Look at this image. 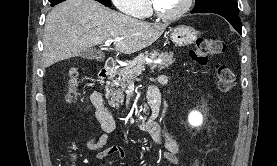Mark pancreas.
I'll list each match as a JSON object with an SVG mask.
<instances>
[{
	"instance_id": "pancreas-1",
	"label": "pancreas",
	"mask_w": 277,
	"mask_h": 166,
	"mask_svg": "<svg viewBox=\"0 0 277 166\" xmlns=\"http://www.w3.org/2000/svg\"><path fill=\"white\" fill-rule=\"evenodd\" d=\"M173 52H159L158 50H152L151 52H145L134 58L129 65L118 70L119 78L114 81L112 86L117 89L111 94L112 104L119 106L124 102V90L127 88L129 83L136 79L144 70V65L146 64V58L161 59L159 64H153L152 70L157 67L158 71L168 68L173 64Z\"/></svg>"
}]
</instances>
